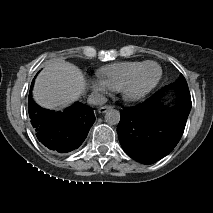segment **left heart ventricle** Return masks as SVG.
I'll list each match as a JSON object with an SVG mask.
<instances>
[{"label":"left heart ventricle","mask_w":213,"mask_h":213,"mask_svg":"<svg viewBox=\"0 0 213 213\" xmlns=\"http://www.w3.org/2000/svg\"><path fill=\"white\" fill-rule=\"evenodd\" d=\"M157 74L158 70L155 66H146L138 75L135 83L131 87L130 92L137 93L148 88L156 79Z\"/></svg>","instance_id":"obj_1"}]
</instances>
